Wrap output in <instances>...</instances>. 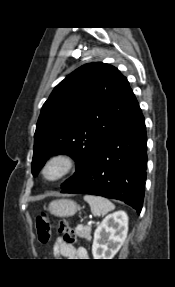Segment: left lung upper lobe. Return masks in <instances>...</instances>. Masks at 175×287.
I'll use <instances>...</instances> for the list:
<instances>
[{
  "label": "left lung upper lobe",
  "mask_w": 175,
  "mask_h": 287,
  "mask_svg": "<svg viewBox=\"0 0 175 287\" xmlns=\"http://www.w3.org/2000/svg\"><path fill=\"white\" fill-rule=\"evenodd\" d=\"M137 104L126 77L115 67L96 62L76 69L42 107L34 135L33 175L49 156L63 153L75 159L76 172L62 188L77 181L91 166L99 145Z\"/></svg>",
  "instance_id": "left-lung-upper-lobe-1"
}]
</instances>
